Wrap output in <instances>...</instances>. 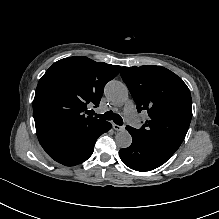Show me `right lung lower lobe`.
Wrapping results in <instances>:
<instances>
[{
  "instance_id": "obj_1",
  "label": "right lung lower lobe",
  "mask_w": 219,
  "mask_h": 219,
  "mask_svg": "<svg viewBox=\"0 0 219 219\" xmlns=\"http://www.w3.org/2000/svg\"><path fill=\"white\" fill-rule=\"evenodd\" d=\"M110 129L111 123L104 121L89 130L43 134L38 139L52 159L66 166H74L92 155L97 138Z\"/></svg>"
}]
</instances>
